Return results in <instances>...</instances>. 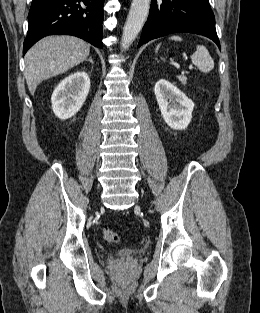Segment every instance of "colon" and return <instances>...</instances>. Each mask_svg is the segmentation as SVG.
Returning a JSON list of instances; mask_svg holds the SVG:
<instances>
[{"label":"colon","mask_w":260,"mask_h":313,"mask_svg":"<svg viewBox=\"0 0 260 313\" xmlns=\"http://www.w3.org/2000/svg\"><path fill=\"white\" fill-rule=\"evenodd\" d=\"M102 235L104 240L108 243L116 244L119 242V235L109 228H105Z\"/></svg>","instance_id":"1"}]
</instances>
